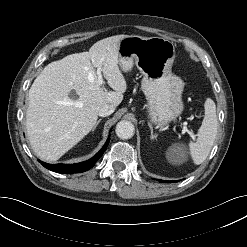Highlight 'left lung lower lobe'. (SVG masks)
I'll return each mask as SVG.
<instances>
[{"mask_svg":"<svg viewBox=\"0 0 247 247\" xmlns=\"http://www.w3.org/2000/svg\"><path fill=\"white\" fill-rule=\"evenodd\" d=\"M160 182H167V183H171V182H175V181H164V180H160Z\"/></svg>","mask_w":247,"mask_h":247,"instance_id":"0a47b994","label":"left lung lower lobe"}]
</instances>
